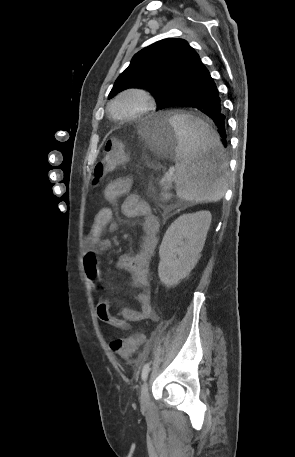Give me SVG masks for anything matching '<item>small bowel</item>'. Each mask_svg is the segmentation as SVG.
<instances>
[{
	"mask_svg": "<svg viewBox=\"0 0 295 457\" xmlns=\"http://www.w3.org/2000/svg\"><path fill=\"white\" fill-rule=\"evenodd\" d=\"M104 195L112 203L125 196L122 212L128 217L143 218L140 251L134 256H121L117 263L119 269L131 274L133 286L137 290L136 300L139 309L119 307L118 315H114L111 312L112 304L109 301H102L97 307V317L100 321L118 329L128 330L131 323L158 319L152 307L149 275L151 259L158 243L159 222L150 212L149 206L132 192L130 178H118L111 181L105 187ZM115 228L116 222L111 208L103 207L95 215L91 229L85 237L83 268L87 281L96 292L105 290L100 276L98 256L101 251L107 250L111 246V241L104 236V232L112 233Z\"/></svg>",
	"mask_w": 295,
	"mask_h": 457,
	"instance_id": "1",
	"label": "small bowel"
}]
</instances>
